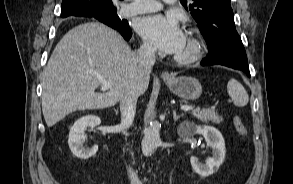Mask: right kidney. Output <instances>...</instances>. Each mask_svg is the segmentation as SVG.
Wrapping results in <instances>:
<instances>
[{
    "instance_id": "ca27d5eb",
    "label": "right kidney",
    "mask_w": 293,
    "mask_h": 184,
    "mask_svg": "<svg viewBox=\"0 0 293 184\" xmlns=\"http://www.w3.org/2000/svg\"><path fill=\"white\" fill-rule=\"evenodd\" d=\"M101 119L95 115H86L78 119L71 127L69 132L68 145L73 153L79 159L86 160L94 156L98 150V146L95 145L92 148H85L83 143L86 136L84 131L87 127H95L100 125Z\"/></svg>"
}]
</instances>
